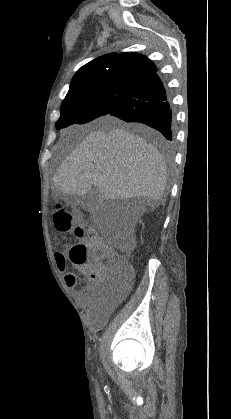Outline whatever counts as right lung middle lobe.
Masks as SVG:
<instances>
[{
	"label": "right lung middle lobe",
	"instance_id": "obj_1",
	"mask_svg": "<svg viewBox=\"0 0 231 419\" xmlns=\"http://www.w3.org/2000/svg\"><path fill=\"white\" fill-rule=\"evenodd\" d=\"M133 86L103 85L82 88L68 95L61 104L57 129L83 124L109 114L132 91Z\"/></svg>",
	"mask_w": 231,
	"mask_h": 419
}]
</instances>
